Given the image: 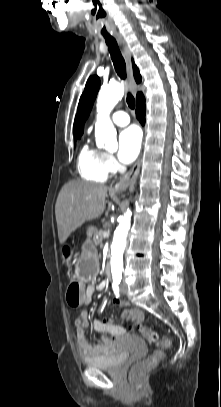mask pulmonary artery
<instances>
[{"mask_svg": "<svg viewBox=\"0 0 221 407\" xmlns=\"http://www.w3.org/2000/svg\"><path fill=\"white\" fill-rule=\"evenodd\" d=\"M112 122L117 126H126L130 122L129 115L124 111H117L112 115Z\"/></svg>", "mask_w": 221, "mask_h": 407, "instance_id": "1", "label": "pulmonary artery"}]
</instances>
